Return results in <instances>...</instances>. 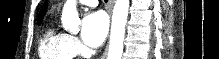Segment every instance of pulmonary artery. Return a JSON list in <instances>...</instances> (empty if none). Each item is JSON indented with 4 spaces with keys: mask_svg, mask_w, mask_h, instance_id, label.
Returning a JSON list of instances; mask_svg holds the SVG:
<instances>
[{
    "mask_svg": "<svg viewBox=\"0 0 219 59\" xmlns=\"http://www.w3.org/2000/svg\"><path fill=\"white\" fill-rule=\"evenodd\" d=\"M77 3H81L87 6H96L97 1L95 0H81V1H77Z\"/></svg>",
    "mask_w": 219,
    "mask_h": 59,
    "instance_id": "e3ab8cb5",
    "label": "pulmonary artery"
}]
</instances>
